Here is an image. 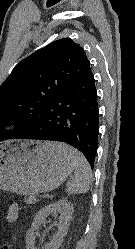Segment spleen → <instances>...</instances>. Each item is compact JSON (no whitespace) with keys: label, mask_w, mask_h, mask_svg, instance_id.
Listing matches in <instances>:
<instances>
[{"label":"spleen","mask_w":135,"mask_h":249,"mask_svg":"<svg viewBox=\"0 0 135 249\" xmlns=\"http://www.w3.org/2000/svg\"><path fill=\"white\" fill-rule=\"evenodd\" d=\"M53 148L68 158L74 168V176L67 184V192L71 194L86 193L91 184V168L86 158L75 148L64 143H53Z\"/></svg>","instance_id":"1"}]
</instances>
